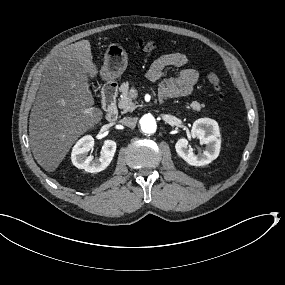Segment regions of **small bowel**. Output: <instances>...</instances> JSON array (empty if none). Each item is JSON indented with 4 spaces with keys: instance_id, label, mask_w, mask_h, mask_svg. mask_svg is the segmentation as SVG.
<instances>
[{
    "instance_id": "c3829d8e",
    "label": "small bowel",
    "mask_w": 285,
    "mask_h": 285,
    "mask_svg": "<svg viewBox=\"0 0 285 285\" xmlns=\"http://www.w3.org/2000/svg\"><path fill=\"white\" fill-rule=\"evenodd\" d=\"M188 57L180 52L163 53L150 66L147 77L151 81H160L159 92L162 98L185 96L192 92L199 80V74L192 68H183L175 77H164L169 67H184Z\"/></svg>"
}]
</instances>
